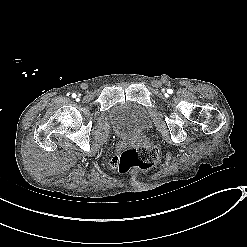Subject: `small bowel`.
I'll list each match as a JSON object with an SVG mask.
<instances>
[{
	"label": "small bowel",
	"mask_w": 247,
	"mask_h": 247,
	"mask_svg": "<svg viewBox=\"0 0 247 247\" xmlns=\"http://www.w3.org/2000/svg\"><path fill=\"white\" fill-rule=\"evenodd\" d=\"M110 162H111V164L109 165V170L111 172H116L118 170L117 163L119 162V157L117 155H112L110 157Z\"/></svg>",
	"instance_id": "small-bowel-1"
}]
</instances>
